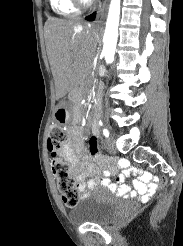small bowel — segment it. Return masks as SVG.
Returning a JSON list of instances; mask_svg holds the SVG:
<instances>
[{"instance_id": "small-bowel-1", "label": "small bowel", "mask_w": 183, "mask_h": 246, "mask_svg": "<svg viewBox=\"0 0 183 246\" xmlns=\"http://www.w3.org/2000/svg\"><path fill=\"white\" fill-rule=\"evenodd\" d=\"M91 131L93 137L98 135L99 127L96 123L92 124ZM86 149L87 146L82 141L81 133L77 129L70 128L67 141L63 144L60 155L72 165L78 190L82 193L83 198L88 196L87 189L91 190L97 186H105L117 195L130 198L139 196L142 198H154V194L158 193L159 185L157 182H161V177H157L156 174L152 175V170H141V175L134 181L135 191L130 186L122 183L125 175L140 174V169H129V162L126 159L117 160V165L124 169L123 174L119 175L118 183H112L110 180L111 174L115 171L114 168L105 170L101 176H92L85 183L83 179L89 175L94 164L100 162V158L94 157L89 151L90 155H88Z\"/></svg>"}]
</instances>
